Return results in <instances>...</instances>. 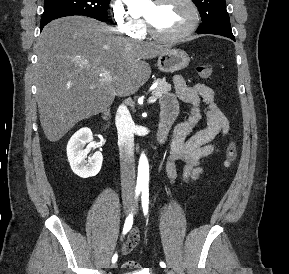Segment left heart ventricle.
<instances>
[{"instance_id":"1","label":"left heart ventricle","mask_w":289,"mask_h":274,"mask_svg":"<svg viewBox=\"0 0 289 274\" xmlns=\"http://www.w3.org/2000/svg\"><path fill=\"white\" fill-rule=\"evenodd\" d=\"M143 16L163 34L179 33L191 21L190 8L183 0H169L161 4L151 2L144 10Z\"/></svg>"}]
</instances>
